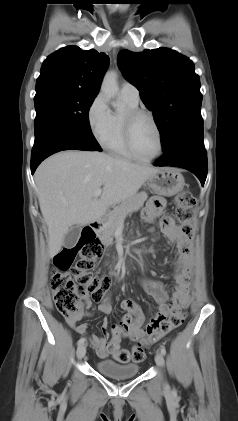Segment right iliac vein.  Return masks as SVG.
<instances>
[{"mask_svg":"<svg viewBox=\"0 0 238 421\" xmlns=\"http://www.w3.org/2000/svg\"><path fill=\"white\" fill-rule=\"evenodd\" d=\"M86 354V345L85 344H80L77 347V351H76V355L78 359H82Z\"/></svg>","mask_w":238,"mask_h":421,"instance_id":"63e3f726","label":"right iliac vein"}]
</instances>
